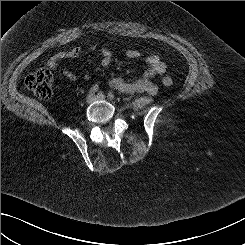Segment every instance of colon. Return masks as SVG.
Returning <instances> with one entry per match:
<instances>
[{
  "instance_id": "1",
  "label": "colon",
  "mask_w": 245,
  "mask_h": 245,
  "mask_svg": "<svg viewBox=\"0 0 245 245\" xmlns=\"http://www.w3.org/2000/svg\"><path fill=\"white\" fill-rule=\"evenodd\" d=\"M174 77L165 74L162 78L163 86L170 88L174 85ZM53 75L50 70L41 68L29 74L25 79L26 87L38 98L48 99L52 95Z\"/></svg>"
}]
</instances>
